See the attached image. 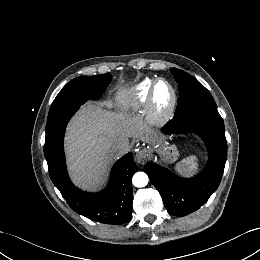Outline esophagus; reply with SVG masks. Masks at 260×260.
<instances>
[{"label":"esophagus","mask_w":260,"mask_h":260,"mask_svg":"<svg viewBox=\"0 0 260 260\" xmlns=\"http://www.w3.org/2000/svg\"><path fill=\"white\" fill-rule=\"evenodd\" d=\"M149 156V150L144 148L136 152L135 161L139 164H143Z\"/></svg>","instance_id":"esophagus-1"}]
</instances>
